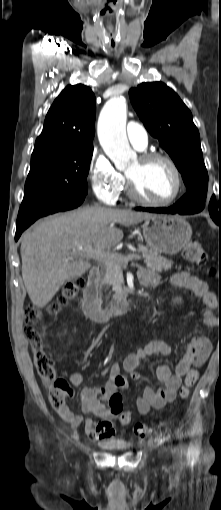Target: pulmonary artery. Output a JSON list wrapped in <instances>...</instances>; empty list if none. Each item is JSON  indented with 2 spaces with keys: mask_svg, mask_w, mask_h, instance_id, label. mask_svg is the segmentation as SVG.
<instances>
[{
  "mask_svg": "<svg viewBox=\"0 0 221 510\" xmlns=\"http://www.w3.org/2000/svg\"><path fill=\"white\" fill-rule=\"evenodd\" d=\"M129 142L138 150H143L148 144V134L145 128L135 121H130L126 127Z\"/></svg>",
  "mask_w": 221,
  "mask_h": 510,
  "instance_id": "obj_1",
  "label": "pulmonary artery"
}]
</instances>
